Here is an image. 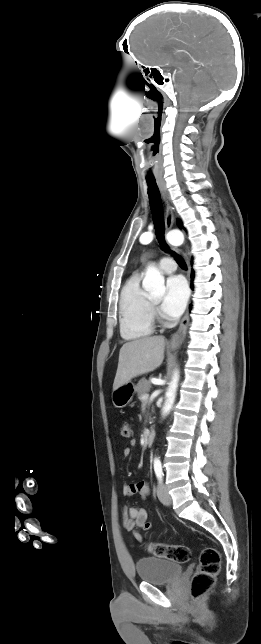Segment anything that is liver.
Listing matches in <instances>:
<instances>
[{
    "label": "liver",
    "instance_id": "liver-1",
    "mask_svg": "<svg viewBox=\"0 0 261 644\" xmlns=\"http://www.w3.org/2000/svg\"><path fill=\"white\" fill-rule=\"evenodd\" d=\"M165 339L162 336L144 337L123 344L113 383V391L131 379L154 371L164 359Z\"/></svg>",
    "mask_w": 261,
    "mask_h": 644
}]
</instances>
